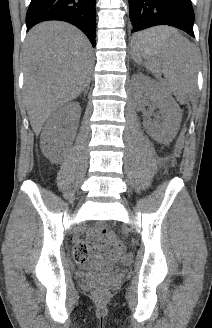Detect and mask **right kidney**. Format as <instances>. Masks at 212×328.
<instances>
[{"label":"right kidney","instance_id":"right-kidney-1","mask_svg":"<svg viewBox=\"0 0 212 328\" xmlns=\"http://www.w3.org/2000/svg\"><path fill=\"white\" fill-rule=\"evenodd\" d=\"M80 114L81 107L77 102H71L53 113L41 134L43 149L55 148L60 141L68 144L76 134Z\"/></svg>","mask_w":212,"mask_h":328}]
</instances>
